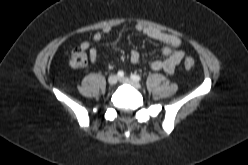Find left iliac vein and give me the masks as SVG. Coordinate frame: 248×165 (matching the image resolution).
Masks as SVG:
<instances>
[{
	"instance_id": "1",
	"label": "left iliac vein",
	"mask_w": 248,
	"mask_h": 165,
	"mask_svg": "<svg viewBox=\"0 0 248 165\" xmlns=\"http://www.w3.org/2000/svg\"><path fill=\"white\" fill-rule=\"evenodd\" d=\"M119 81L122 82V83H125V84H129V85L133 86L136 89L141 88L140 83H138L137 81L131 80L128 77L119 78Z\"/></svg>"
}]
</instances>
